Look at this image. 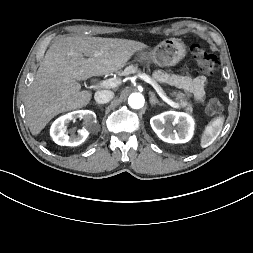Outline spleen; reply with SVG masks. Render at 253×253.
<instances>
[{
  "label": "spleen",
  "instance_id": "3e777b00",
  "mask_svg": "<svg viewBox=\"0 0 253 253\" xmlns=\"http://www.w3.org/2000/svg\"><path fill=\"white\" fill-rule=\"evenodd\" d=\"M224 123V117H218L211 121L205 128L200 141V146L206 148L210 146L220 134Z\"/></svg>",
  "mask_w": 253,
  "mask_h": 253
}]
</instances>
